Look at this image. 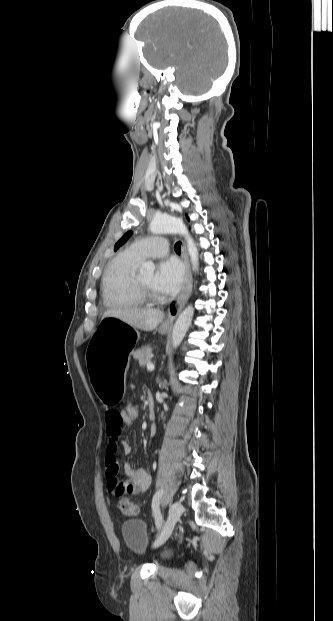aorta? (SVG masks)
I'll return each mask as SVG.
<instances>
[{
    "mask_svg": "<svg viewBox=\"0 0 333 621\" xmlns=\"http://www.w3.org/2000/svg\"><path fill=\"white\" fill-rule=\"evenodd\" d=\"M149 229L153 234H163V233H171V234H180L182 235L186 242L188 253L190 256V260L192 263L193 270H198V250L197 247L189 234V231L185 224L175 217L170 216H155L150 222ZM155 270V266L152 262H146L142 264L140 267V274H153ZM194 315V308L190 304L188 305L178 316L173 332H172V345L173 348H178L181 344L186 332L188 331L189 326L191 325L192 318Z\"/></svg>",
    "mask_w": 333,
    "mask_h": 621,
    "instance_id": "obj_1",
    "label": "aorta"
}]
</instances>
